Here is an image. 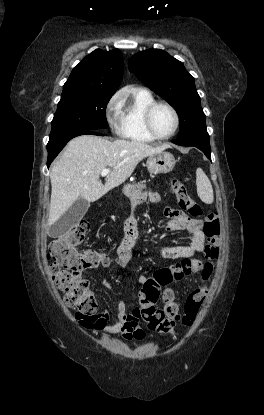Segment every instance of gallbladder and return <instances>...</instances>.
<instances>
[{
  "instance_id": "1",
  "label": "gallbladder",
  "mask_w": 264,
  "mask_h": 415,
  "mask_svg": "<svg viewBox=\"0 0 264 415\" xmlns=\"http://www.w3.org/2000/svg\"><path fill=\"white\" fill-rule=\"evenodd\" d=\"M88 208L89 202L83 198H78L51 227V236L59 237L67 233L70 227L76 225L83 218L88 211Z\"/></svg>"
}]
</instances>
